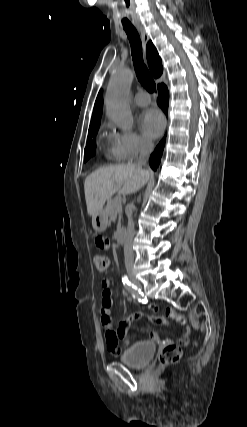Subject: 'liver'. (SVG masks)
Returning <instances> with one entry per match:
<instances>
[{
	"instance_id": "obj_1",
	"label": "liver",
	"mask_w": 247,
	"mask_h": 427,
	"mask_svg": "<svg viewBox=\"0 0 247 427\" xmlns=\"http://www.w3.org/2000/svg\"><path fill=\"white\" fill-rule=\"evenodd\" d=\"M149 172L136 164L103 167L92 172L84 182L87 212L92 218L101 210L108 198L117 191L132 194L148 180Z\"/></svg>"
}]
</instances>
